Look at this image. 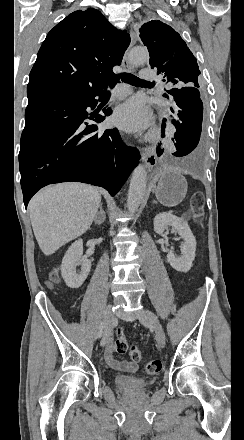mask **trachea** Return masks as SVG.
<instances>
[{"mask_svg":"<svg viewBox=\"0 0 244 440\" xmlns=\"http://www.w3.org/2000/svg\"><path fill=\"white\" fill-rule=\"evenodd\" d=\"M119 79H121L122 82L129 83L130 85H134L136 87L140 86L143 83H149L136 77L135 75H132L131 73H122L119 76L115 77V79L110 83V87L114 88Z\"/></svg>","mask_w":244,"mask_h":440,"instance_id":"obj_1","label":"trachea"}]
</instances>
